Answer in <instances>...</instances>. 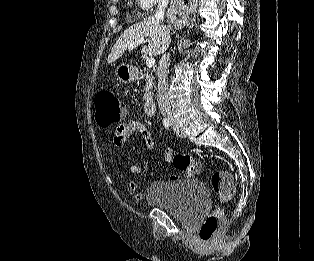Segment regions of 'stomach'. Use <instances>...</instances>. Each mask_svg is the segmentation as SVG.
<instances>
[{
	"label": "stomach",
	"mask_w": 314,
	"mask_h": 261,
	"mask_svg": "<svg viewBox=\"0 0 314 261\" xmlns=\"http://www.w3.org/2000/svg\"><path fill=\"white\" fill-rule=\"evenodd\" d=\"M117 79L122 83H131L136 78V73L134 67L130 65H120L116 69Z\"/></svg>",
	"instance_id": "obj_1"
}]
</instances>
